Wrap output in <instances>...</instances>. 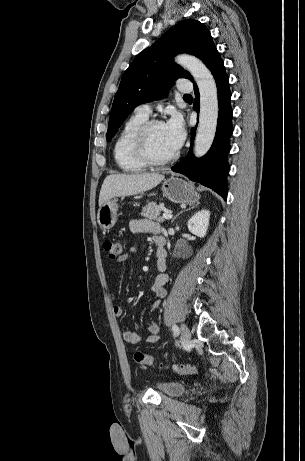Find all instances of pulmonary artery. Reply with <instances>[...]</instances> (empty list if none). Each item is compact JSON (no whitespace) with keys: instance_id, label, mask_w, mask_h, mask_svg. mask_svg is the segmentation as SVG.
<instances>
[{"instance_id":"1","label":"pulmonary artery","mask_w":305,"mask_h":461,"mask_svg":"<svg viewBox=\"0 0 305 461\" xmlns=\"http://www.w3.org/2000/svg\"><path fill=\"white\" fill-rule=\"evenodd\" d=\"M178 90L181 93H188L192 90V87L188 83H186L184 80H182L178 84ZM136 112L149 116L151 114V106L149 104H142L137 107Z\"/></svg>"}]
</instances>
